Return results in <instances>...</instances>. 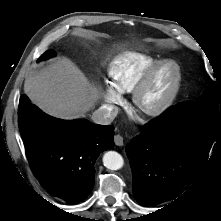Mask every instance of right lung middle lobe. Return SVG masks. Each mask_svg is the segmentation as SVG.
<instances>
[{"mask_svg":"<svg viewBox=\"0 0 221 221\" xmlns=\"http://www.w3.org/2000/svg\"><path fill=\"white\" fill-rule=\"evenodd\" d=\"M52 56H55V52L53 50H48L40 56L38 61H41L42 59H47Z\"/></svg>","mask_w":221,"mask_h":221,"instance_id":"1","label":"right lung middle lobe"}]
</instances>
